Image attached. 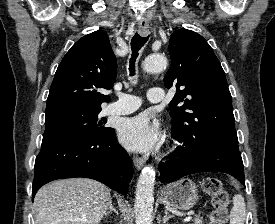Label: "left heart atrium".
<instances>
[{
    "mask_svg": "<svg viewBox=\"0 0 275 224\" xmlns=\"http://www.w3.org/2000/svg\"><path fill=\"white\" fill-rule=\"evenodd\" d=\"M118 136L125 147L134 151H147L159 140L157 128L144 115L123 120L119 125Z\"/></svg>",
    "mask_w": 275,
    "mask_h": 224,
    "instance_id": "left-heart-atrium-1",
    "label": "left heart atrium"
}]
</instances>
